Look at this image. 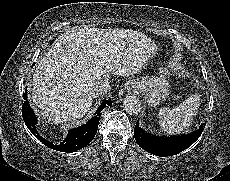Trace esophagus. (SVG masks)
<instances>
[{
    "label": "esophagus",
    "mask_w": 230,
    "mask_h": 181,
    "mask_svg": "<svg viewBox=\"0 0 230 181\" xmlns=\"http://www.w3.org/2000/svg\"><path fill=\"white\" fill-rule=\"evenodd\" d=\"M130 94H138V89H129Z\"/></svg>",
    "instance_id": "esophagus-1"
}]
</instances>
